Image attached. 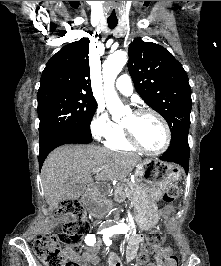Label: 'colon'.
I'll list each match as a JSON object with an SVG mask.
<instances>
[{"label": "colon", "instance_id": "5ec220e1", "mask_svg": "<svg viewBox=\"0 0 221 266\" xmlns=\"http://www.w3.org/2000/svg\"><path fill=\"white\" fill-rule=\"evenodd\" d=\"M178 193V188L172 185L164 193L162 201L171 203L176 200ZM58 215L68 219L62 231L58 235H38L33 244L34 252L45 266H77L74 261L68 259L67 255L80 250L81 240L90 231L86 210L78 200L72 199L62 204ZM164 241V233L161 230H153L147 237L145 249L148 253L155 252ZM139 261L144 263L146 256L142 255ZM166 266H177L174 254L168 257Z\"/></svg>", "mask_w": 221, "mask_h": 266}]
</instances>
